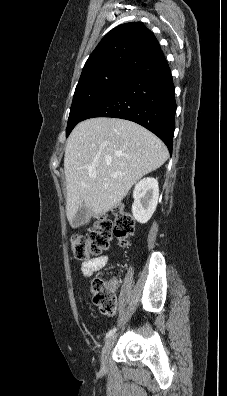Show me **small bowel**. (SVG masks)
<instances>
[{
  "label": "small bowel",
  "instance_id": "obj_1",
  "mask_svg": "<svg viewBox=\"0 0 227 396\" xmlns=\"http://www.w3.org/2000/svg\"><path fill=\"white\" fill-rule=\"evenodd\" d=\"M108 261L107 256H100L88 261H85L82 266L81 270L85 277L91 276L94 272L102 269ZM116 285V283H114Z\"/></svg>",
  "mask_w": 227,
  "mask_h": 396
}]
</instances>
